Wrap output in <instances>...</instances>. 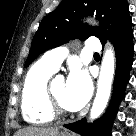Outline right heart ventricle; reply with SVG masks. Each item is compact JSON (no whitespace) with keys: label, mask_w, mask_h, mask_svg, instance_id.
<instances>
[{"label":"right heart ventricle","mask_w":136,"mask_h":136,"mask_svg":"<svg viewBox=\"0 0 136 136\" xmlns=\"http://www.w3.org/2000/svg\"><path fill=\"white\" fill-rule=\"evenodd\" d=\"M53 73L42 61L27 72L21 92V110L26 122L44 124L53 120L46 97V87Z\"/></svg>","instance_id":"obj_1"}]
</instances>
